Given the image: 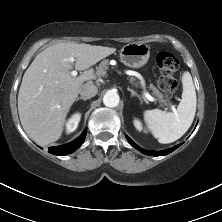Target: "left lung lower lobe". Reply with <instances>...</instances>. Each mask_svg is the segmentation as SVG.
<instances>
[{
	"instance_id": "left-lung-lower-lobe-1",
	"label": "left lung lower lobe",
	"mask_w": 222,
	"mask_h": 222,
	"mask_svg": "<svg viewBox=\"0 0 222 222\" xmlns=\"http://www.w3.org/2000/svg\"><path fill=\"white\" fill-rule=\"evenodd\" d=\"M126 138L128 139V142L135 148H137L138 150H140L142 153L146 154V155H150V156H163V155H167L169 153H171L172 151H174L175 149H177L181 144L174 146L170 149L167 150H163V151H147V150H143L142 148L138 147L128 136H126Z\"/></svg>"
}]
</instances>
